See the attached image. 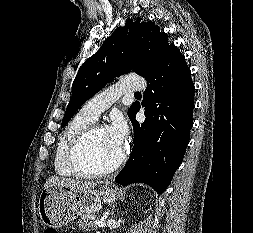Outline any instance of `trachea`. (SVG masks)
<instances>
[{
    "label": "trachea",
    "instance_id": "obj_1",
    "mask_svg": "<svg viewBox=\"0 0 253 233\" xmlns=\"http://www.w3.org/2000/svg\"><path fill=\"white\" fill-rule=\"evenodd\" d=\"M135 94H140V92H136Z\"/></svg>",
    "mask_w": 253,
    "mask_h": 233
}]
</instances>
